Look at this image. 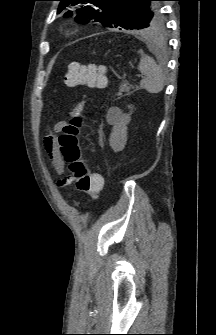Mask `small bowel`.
Masks as SVG:
<instances>
[{"instance_id": "1", "label": "small bowel", "mask_w": 216, "mask_h": 335, "mask_svg": "<svg viewBox=\"0 0 216 335\" xmlns=\"http://www.w3.org/2000/svg\"><path fill=\"white\" fill-rule=\"evenodd\" d=\"M83 108H84V103H80L73 109L71 114L73 116L79 115L83 111ZM64 125H65V122H59L55 126L54 131L55 132L59 131ZM44 147H45V150L47 152V155L49 156V158H50L51 162L53 163L54 167L56 168V170L58 172H62L63 168H64V164H63V161L60 157L59 150H58V142H57V139H56L54 134H50L45 138ZM72 181L73 180L71 178H69V179L60 181L59 184L60 185H68V184H71Z\"/></svg>"}]
</instances>
